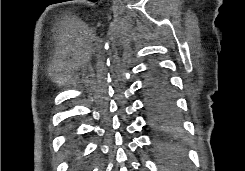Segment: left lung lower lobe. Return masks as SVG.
Masks as SVG:
<instances>
[{
    "label": "left lung lower lobe",
    "instance_id": "0a47b994",
    "mask_svg": "<svg viewBox=\"0 0 245 171\" xmlns=\"http://www.w3.org/2000/svg\"><path fill=\"white\" fill-rule=\"evenodd\" d=\"M147 107L151 122L157 128H170L176 117L175 97L167 75L159 68H154L146 83ZM156 146L160 150H169L168 143L158 139ZM163 156H170V151H163ZM166 162H181V157H166Z\"/></svg>",
    "mask_w": 245,
    "mask_h": 171
}]
</instances>
